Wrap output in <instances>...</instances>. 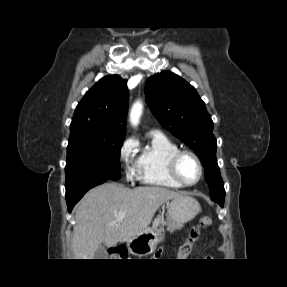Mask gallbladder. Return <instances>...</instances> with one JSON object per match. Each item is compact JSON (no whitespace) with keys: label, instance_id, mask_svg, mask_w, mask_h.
Instances as JSON below:
<instances>
[{"label":"gallbladder","instance_id":"gallbladder-1","mask_svg":"<svg viewBox=\"0 0 287 287\" xmlns=\"http://www.w3.org/2000/svg\"><path fill=\"white\" fill-rule=\"evenodd\" d=\"M106 251L103 245H100L95 252V259H106Z\"/></svg>","mask_w":287,"mask_h":287}]
</instances>
